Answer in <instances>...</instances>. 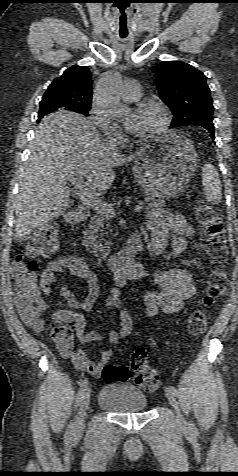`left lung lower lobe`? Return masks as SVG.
I'll use <instances>...</instances> for the list:
<instances>
[{"label":"left lung lower lobe","mask_w":238,"mask_h":476,"mask_svg":"<svg viewBox=\"0 0 238 476\" xmlns=\"http://www.w3.org/2000/svg\"><path fill=\"white\" fill-rule=\"evenodd\" d=\"M202 127L206 128L211 133L212 139H214V126L202 125Z\"/></svg>","instance_id":"obj_1"}]
</instances>
